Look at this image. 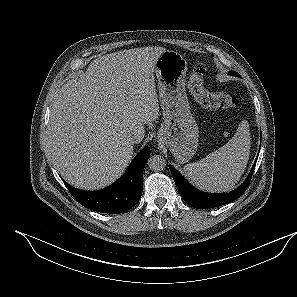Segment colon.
Here are the masks:
<instances>
[{
	"mask_svg": "<svg viewBox=\"0 0 297 297\" xmlns=\"http://www.w3.org/2000/svg\"><path fill=\"white\" fill-rule=\"evenodd\" d=\"M205 67H194L189 79V88L193 97L205 108L211 110H230L237 105V100L227 93H212L204 86Z\"/></svg>",
	"mask_w": 297,
	"mask_h": 297,
	"instance_id": "1",
	"label": "colon"
}]
</instances>
